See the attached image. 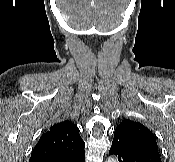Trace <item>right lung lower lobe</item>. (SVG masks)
<instances>
[{"label": "right lung lower lobe", "mask_w": 175, "mask_h": 162, "mask_svg": "<svg viewBox=\"0 0 175 162\" xmlns=\"http://www.w3.org/2000/svg\"><path fill=\"white\" fill-rule=\"evenodd\" d=\"M84 161H85V152L76 157L58 156V157L48 158L43 162H84Z\"/></svg>", "instance_id": "right-lung-lower-lobe-1"}]
</instances>
